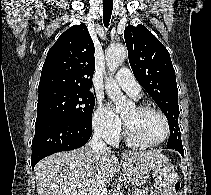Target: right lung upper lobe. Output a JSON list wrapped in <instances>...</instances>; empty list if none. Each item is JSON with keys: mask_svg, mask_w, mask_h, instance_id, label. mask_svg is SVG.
Wrapping results in <instances>:
<instances>
[{"mask_svg": "<svg viewBox=\"0 0 211 195\" xmlns=\"http://www.w3.org/2000/svg\"><path fill=\"white\" fill-rule=\"evenodd\" d=\"M94 50L84 23L62 33L48 51L39 92L57 88L88 91L95 70Z\"/></svg>", "mask_w": 211, "mask_h": 195, "instance_id": "right-lung-upper-lobe-1", "label": "right lung upper lobe"}]
</instances>
